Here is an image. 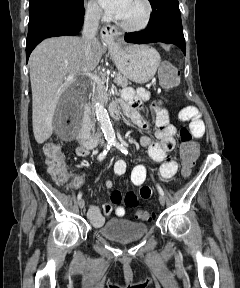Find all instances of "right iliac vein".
I'll return each instance as SVG.
<instances>
[{
	"label": "right iliac vein",
	"instance_id": "obj_1",
	"mask_svg": "<svg viewBox=\"0 0 240 288\" xmlns=\"http://www.w3.org/2000/svg\"><path fill=\"white\" fill-rule=\"evenodd\" d=\"M84 206H85V201H84V199H80V200H79V208H80V209H83Z\"/></svg>",
	"mask_w": 240,
	"mask_h": 288
}]
</instances>
